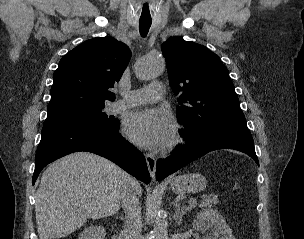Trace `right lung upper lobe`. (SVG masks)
<instances>
[{
  "label": "right lung upper lobe",
  "mask_w": 304,
  "mask_h": 239,
  "mask_svg": "<svg viewBox=\"0 0 304 239\" xmlns=\"http://www.w3.org/2000/svg\"><path fill=\"white\" fill-rule=\"evenodd\" d=\"M131 53L111 37L87 40L68 52L53 74L48 117L102 107L125 70Z\"/></svg>",
  "instance_id": "right-lung-upper-lobe-1"
}]
</instances>
